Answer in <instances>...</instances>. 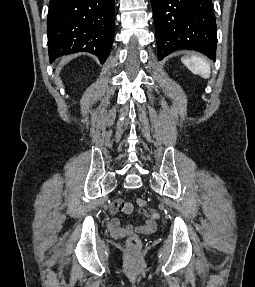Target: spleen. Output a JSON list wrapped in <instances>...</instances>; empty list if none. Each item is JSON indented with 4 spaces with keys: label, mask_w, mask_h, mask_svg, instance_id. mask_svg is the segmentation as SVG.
Instances as JSON below:
<instances>
[{
    "label": "spleen",
    "mask_w": 255,
    "mask_h": 287,
    "mask_svg": "<svg viewBox=\"0 0 255 287\" xmlns=\"http://www.w3.org/2000/svg\"><path fill=\"white\" fill-rule=\"evenodd\" d=\"M182 62L193 74H199L201 78H210V66L204 58H198V56L188 58V56H186V58H182Z\"/></svg>",
    "instance_id": "spleen-1"
}]
</instances>
